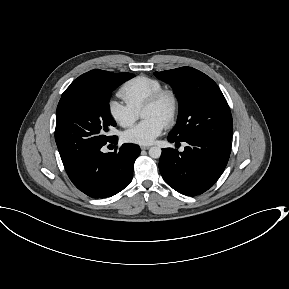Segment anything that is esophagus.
I'll use <instances>...</instances> for the list:
<instances>
[{
  "label": "esophagus",
  "mask_w": 289,
  "mask_h": 289,
  "mask_svg": "<svg viewBox=\"0 0 289 289\" xmlns=\"http://www.w3.org/2000/svg\"><path fill=\"white\" fill-rule=\"evenodd\" d=\"M140 148H141L142 150H147V149L150 148V146H141Z\"/></svg>",
  "instance_id": "esophagus-1"
}]
</instances>
